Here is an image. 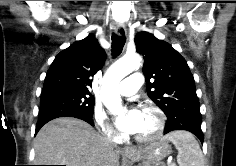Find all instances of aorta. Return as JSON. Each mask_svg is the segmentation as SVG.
Here are the masks:
<instances>
[{"mask_svg": "<svg viewBox=\"0 0 236 166\" xmlns=\"http://www.w3.org/2000/svg\"><path fill=\"white\" fill-rule=\"evenodd\" d=\"M141 57L137 54L126 55L116 61L106 72L101 88V99L112 114H121L123 107L118 93V83L125 76L139 69Z\"/></svg>", "mask_w": 236, "mask_h": 166, "instance_id": "762f6f07", "label": "aorta"}]
</instances>
